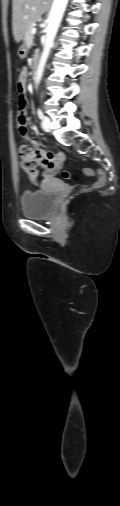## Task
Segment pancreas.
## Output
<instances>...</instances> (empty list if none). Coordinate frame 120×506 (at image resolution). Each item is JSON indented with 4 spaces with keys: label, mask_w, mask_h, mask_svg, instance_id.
Returning a JSON list of instances; mask_svg holds the SVG:
<instances>
[{
    "label": "pancreas",
    "mask_w": 120,
    "mask_h": 506,
    "mask_svg": "<svg viewBox=\"0 0 120 506\" xmlns=\"http://www.w3.org/2000/svg\"><path fill=\"white\" fill-rule=\"evenodd\" d=\"M33 28V25L30 24L27 28V31L25 33V38H24V41H25V44L27 47H30L33 43V34H31V30Z\"/></svg>",
    "instance_id": "pancreas-1"
}]
</instances>
